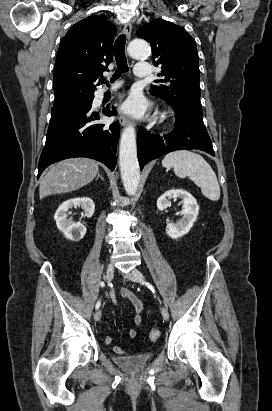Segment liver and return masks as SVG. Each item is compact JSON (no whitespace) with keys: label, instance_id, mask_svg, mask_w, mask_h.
I'll use <instances>...</instances> for the list:
<instances>
[{"label":"liver","instance_id":"1","mask_svg":"<svg viewBox=\"0 0 272 411\" xmlns=\"http://www.w3.org/2000/svg\"><path fill=\"white\" fill-rule=\"evenodd\" d=\"M98 171V163L89 158L60 161L51 166L42 178L39 186L40 199L77 190L91 182Z\"/></svg>","mask_w":272,"mask_h":411}]
</instances>
